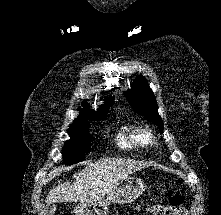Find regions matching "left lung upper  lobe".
<instances>
[{
    "mask_svg": "<svg viewBox=\"0 0 221 215\" xmlns=\"http://www.w3.org/2000/svg\"><path fill=\"white\" fill-rule=\"evenodd\" d=\"M131 106L150 122L156 124L163 131V123L158 114L155 96L149 87L145 77L140 76L131 85V89L125 92Z\"/></svg>",
    "mask_w": 221,
    "mask_h": 215,
    "instance_id": "5c2ea615",
    "label": "left lung upper lobe"
}]
</instances>
